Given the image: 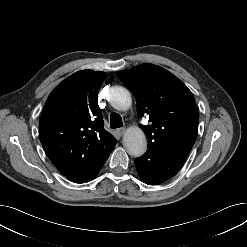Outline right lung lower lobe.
I'll use <instances>...</instances> for the list:
<instances>
[{"label": "right lung lower lobe", "instance_id": "right-lung-lower-lobe-1", "mask_svg": "<svg viewBox=\"0 0 247 247\" xmlns=\"http://www.w3.org/2000/svg\"><path fill=\"white\" fill-rule=\"evenodd\" d=\"M108 157L109 156H107L106 158L102 160L97 161L96 163L90 165L87 168H84L82 170L69 174L66 176V178L75 183L88 182L92 180L99 173V171L103 167Z\"/></svg>", "mask_w": 247, "mask_h": 247}]
</instances>
